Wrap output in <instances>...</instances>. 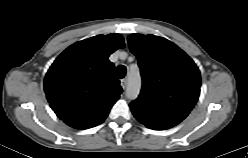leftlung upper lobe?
I'll return each mask as SVG.
<instances>
[{"instance_id":"5c2ea615","label":"left lung upper lobe","mask_w":248,"mask_h":158,"mask_svg":"<svg viewBox=\"0 0 248 158\" xmlns=\"http://www.w3.org/2000/svg\"><path fill=\"white\" fill-rule=\"evenodd\" d=\"M128 44L138 59L142 76L140 95L130 103L133 115L154 130L179 124L199 98L198 67L183 50L163 37L131 34Z\"/></svg>"}]
</instances>
